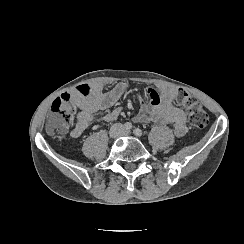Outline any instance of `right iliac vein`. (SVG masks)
I'll list each match as a JSON object with an SVG mask.
<instances>
[{
    "mask_svg": "<svg viewBox=\"0 0 244 244\" xmlns=\"http://www.w3.org/2000/svg\"><path fill=\"white\" fill-rule=\"evenodd\" d=\"M110 137L115 138L118 135V130L116 126H113L109 131Z\"/></svg>",
    "mask_w": 244,
    "mask_h": 244,
    "instance_id": "obj_1",
    "label": "right iliac vein"
}]
</instances>
